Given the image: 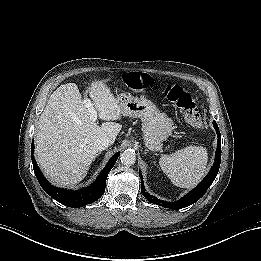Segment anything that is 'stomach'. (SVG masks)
I'll return each mask as SVG.
<instances>
[{"label": "stomach", "instance_id": "stomach-1", "mask_svg": "<svg viewBox=\"0 0 261 261\" xmlns=\"http://www.w3.org/2000/svg\"><path fill=\"white\" fill-rule=\"evenodd\" d=\"M117 100L124 116L141 119L145 147L150 151H160L172 133L171 119L148 99L120 94Z\"/></svg>", "mask_w": 261, "mask_h": 261}]
</instances>
